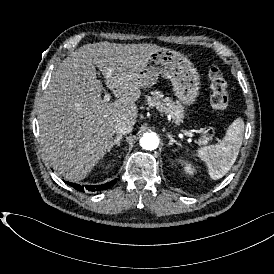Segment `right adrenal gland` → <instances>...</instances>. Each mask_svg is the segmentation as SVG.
Returning <instances> with one entry per match:
<instances>
[{
	"label": "right adrenal gland",
	"mask_w": 274,
	"mask_h": 274,
	"mask_svg": "<svg viewBox=\"0 0 274 274\" xmlns=\"http://www.w3.org/2000/svg\"><path fill=\"white\" fill-rule=\"evenodd\" d=\"M121 139H122V135L116 136L115 139H114L113 145L111 146V149H112L114 146L119 147V146H120V140H121Z\"/></svg>",
	"instance_id": "right-adrenal-gland-1"
}]
</instances>
